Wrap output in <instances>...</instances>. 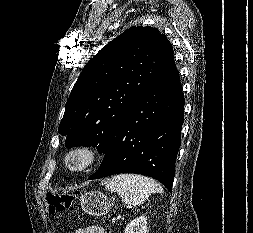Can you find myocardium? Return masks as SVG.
I'll return each instance as SVG.
<instances>
[{"label": "myocardium", "instance_id": "1", "mask_svg": "<svg viewBox=\"0 0 253 233\" xmlns=\"http://www.w3.org/2000/svg\"><path fill=\"white\" fill-rule=\"evenodd\" d=\"M102 150L92 144H77L63 155L62 164L71 175L81 174L91 169L101 158Z\"/></svg>", "mask_w": 253, "mask_h": 233}]
</instances>
